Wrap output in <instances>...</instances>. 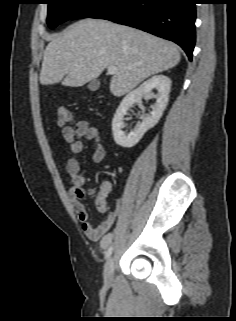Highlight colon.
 Returning <instances> with one entry per match:
<instances>
[{
  "instance_id": "obj_1",
  "label": "colon",
  "mask_w": 236,
  "mask_h": 321,
  "mask_svg": "<svg viewBox=\"0 0 236 321\" xmlns=\"http://www.w3.org/2000/svg\"><path fill=\"white\" fill-rule=\"evenodd\" d=\"M58 123L59 125H66L73 121V114L70 110L64 107L58 108ZM83 195V193H82Z\"/></svg>"
}]
</instances>
